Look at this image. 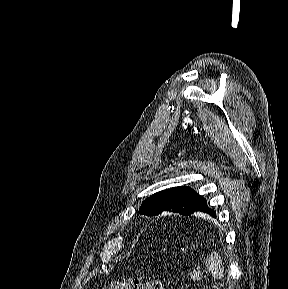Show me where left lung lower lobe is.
Masks as SVG:
<instances>
[{
    "instance_id": "left-lung-lower-lobe-1",
    "label": "left lung lower lobe",
    "mask_w": 288,
    "mask_h": 289,
    "mask_svg": "<svg viewBox=\"0 0 288 289\" xmlns=\"http://www.w3.org/2000/svg\"><path fill=\"white\" fill-rule=\"evenodd\" d=\"M204 212V213H207L209 215H211L212 217H215L216 218V214H215V211L213 209H210L207 205V202L205 199H203L194 209V212ZM191 213V214H192Z\"/></svg>"
}]
</instances>
